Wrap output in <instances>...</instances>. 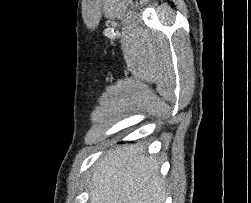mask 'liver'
<instances>
[{"instance_id":"1","label":"liver","mask_w":251,"mask_h":203,"mask_svg":"<svg viewBox=\"0 0 251 203\" xmlns=\"http://www.w3.org/2000/svg\"><path fill=\"white\" fill-rule=\"evenodd\" d=\"M159 164L138 145L120 146L94 167L90 203H163L165 192Z\"/></svg>"}]
</instances>
